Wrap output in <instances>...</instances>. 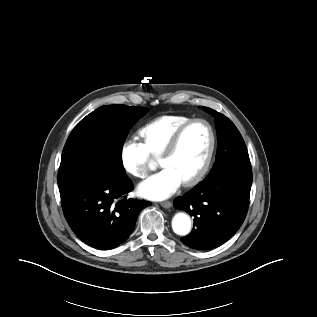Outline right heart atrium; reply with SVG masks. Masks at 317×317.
Wrapping results in <instances>:
<instances>
[{"instance_id":"right-heart-atrium-1","label":"right heart atrium","mask_w":317,"mask_h":317,"mask_svg":"<svg viewBox=\"0 0 317 317\" xmlns=\"http://www.w3.org/2000/svg\"><path fill=\"white\" fill-rule=\"evenodd\" d=\"M120 160L127 173L136 178H144L150 169L151 155L142 141L129 138L121 146Z\"/></svg>"}]
</instances>
